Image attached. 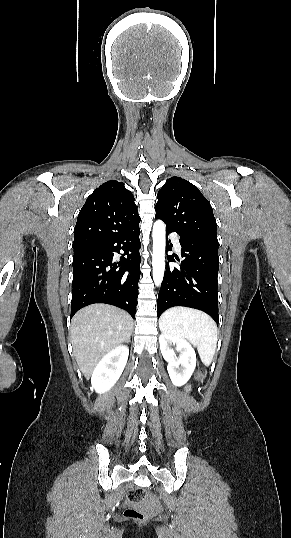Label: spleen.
<instances>
[{"label":"spleen","mask_w":291,"mask_h":538,"mask_svg":"<svg viewBox=\"0 0 291 538\" xmlns=\"http://www.w3.org/2000/svg\"><path fill=\"white\" fill-rule=\"evenodd\" d=\"M160 330L188 339L197 347L201 361L209 366L217 347V326L202 311L185 307L166 310L159 319Z\"/></svg>","instance_id":"3e777b00"}]
</instances>
